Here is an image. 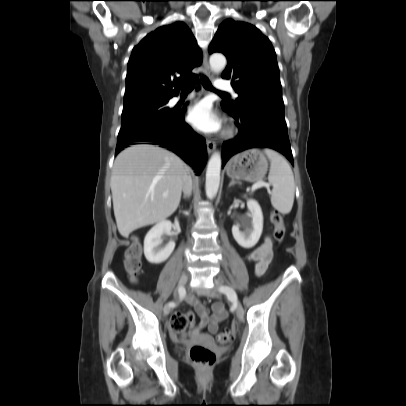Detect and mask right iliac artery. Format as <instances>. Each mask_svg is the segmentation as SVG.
I'll return each instance as SVG.
<instances>
[{"label": "right iliac artery", "mask_w": 406, "mask_h": 406, "mask_svg": "<svg viewBox=\"0 0 406 406\" xmlns=\"http://www.w3.org/2000/svg\"><path fill=\"white\" fill-rule=\"evenodd\" d=\"M178 292H179V296H180V297H183L184 294H185V290H184L183 287H180L179 290H178ZM169 306H170V307H174V306H175V303H174V302H170V303H169Z\"/></svg>", "instance_id": "obj_1"}]
</instances>
